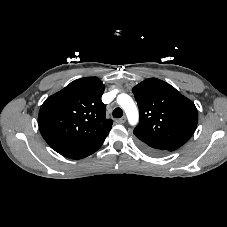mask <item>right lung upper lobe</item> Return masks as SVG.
I'll return each mask as SVG.
<instances>
[{
	"label": "right lung upper lobe",
	"mask_w": 227,
	"mask_h": 227,
	"mask_svg": "<svg viewBox=\"0 0 227 227\" xmlns=\"http://www.w3.org/2000/svg\"><path fill=\"white\" fill-rule=\"evenodd\" d=\"M104 84L97 77L77 79L42 104L38 125L48 145L70 159L93 154L112 127L101 101Z\"/></svg>",
	"instance_id": "obj_1"
}]
</instances>
